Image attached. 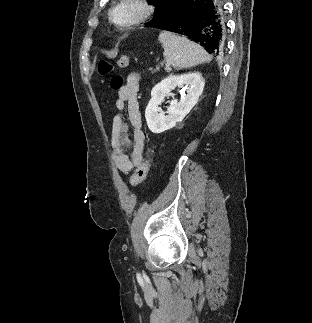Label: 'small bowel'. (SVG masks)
I'll list each match as a JSON object with an SVG mask.
<instances>
[{
	"instance_id": "1",
	"label": "small bowel",
	"mask_w": 312,
	"mask_h": 323,
	"mask_svg": "<svg viewBox=\"0 0 312 323\" xmlns=\"http://www.w3.org/2000/svg\"><path fill=\"white\" fill-rule=\"evenodd\" d=\"M139 87V75L135 72L130 73L115 101L117 113L112 120L111 157L117 169L124 174H129L144 162L145 134L138 102ZM125 109L132 129V141L128 136ZM129 146H131L130 155L126 153V148Z\"/></svg>"
}]
</instances>
